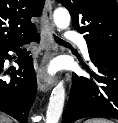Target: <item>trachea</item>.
Masks as SVG:
<instances>
[{
  "mask_svg": "<svg viewBox=\"0 0 118 123\" xmlns=\"http://www.w3.org/2000/svg\"><path fill=\"white\" fill-rule=\"evenodd\" d=\"M54 39H55V41H56L57 43H59V44H69L68 42H66V41H64V40H62V39H60L59 37L54 36Z\"/></svg>",
  "mask_w": 118,
  "mask_h": 123,
  "instance_id": "obj_1",
  "label": "trachea"
}]
</instances>
